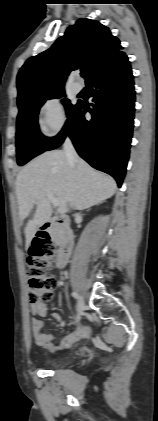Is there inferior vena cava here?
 <instances>
[{"label": "inferior vena cava", "mask_w": 158, "mask_h": 421, "mask_svg": "<svg viewBox=\"0 0 158 421\" xmlns=\"http://www.w3.org/2000/svg\"><path fill=\"white\" fill-rule=\"evenodd\" d=\"M64 152L66 154V158L69 164L71 165H77L79 162V157L77 155V152L69 138H66L64 144H63Z\"/></svg>", "instance_id": "1"}]
</instances>
